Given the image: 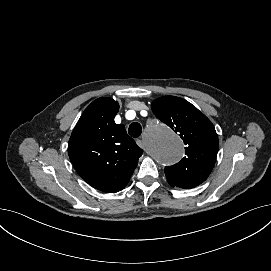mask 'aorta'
I'll return each mask as SVG.
<instances>
[{"label": "aorta", "instance_id": "1", "mask_svg": "<svg viewBox=\"0 0 271 271\" xmlns=\"http://www.w3.org/2000/svg\"><path fill=\"white\" fill-rule=\"evenodd\" d=\"M148 150L154 159L163 165H173L184 154L182 141L166 127H154L146 134Z\"/></svg>", "mask_w": 271, "mask_h": 271}]
</instances>
